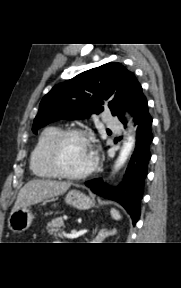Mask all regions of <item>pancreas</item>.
Wrapping results in <instances>:
<instances>
[{"instance_id": "pancreas-1", "label": "pancreas", "mask_w": 181, "mask_h": 288, "mask_svg": "<svg viewBox=\"0 0 181 288\" xmlns=\"http://www.w3.org/2000/svg\"><path fill=\"white\" fill-rule=\"evenodd\" d=\"M64 227L62 217H57L47 224V230L50 235L58 236L62 238V234L59 232L60 228Z\"/></svg>"}]
</instances>
